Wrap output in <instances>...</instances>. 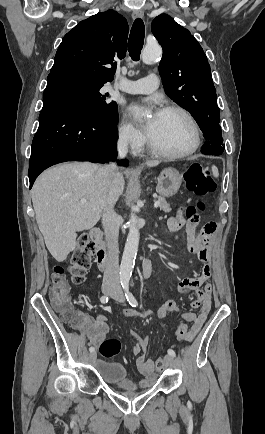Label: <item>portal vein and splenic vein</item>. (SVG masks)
<instances>
[{
  "mask_svg": "<svg viewBox=\"0 0 265 434\" xmlns=\"http://www.w3.org/2000/svg\"><path fill=\"white\" fill-rule=\"evenodd\" d=\"M81 204H86V200H80ZM159 202H155L154 208H158Z\"/></svg>",
  "mask_w": 265,
  "mask_h": 434,
  "instance_id": "portal-vein-and-splenic-vein-1",
  "label": "portal vein and splenic vein"
}]
</instances>
